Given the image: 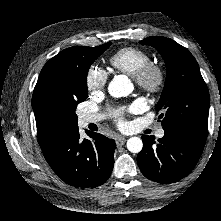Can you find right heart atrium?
<instances>
[{"instance_id":"obj_1","label":"right heart atrium","mask_w":221,"mask_h":221,"mask_svg":"<svg viewBox=\"0 0 221 221\" xmlns=\"http://www.w3.org/2000/svg\"><path fill=\"white\" fill-rule=\"evenodd\" d=\"M107 81V73L99 67L92 66L86 72V86L89 91H102Z\"/></svg>"}]
</instances>
